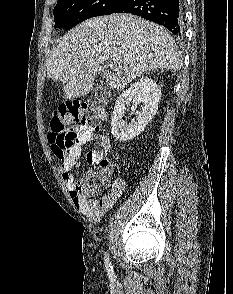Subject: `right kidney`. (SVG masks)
<instances>
[{
    "label": "right kidney",
    "mask_w": 233,
    "mask_h": 294,
    "mask_svg": "<svg viewBox=\"0 0 233 294\" xmlns=\"http://www.w3.org/2000/svg\"><path fill=\"white\" fill-rule=\"evenodd\" d=\"M160 99V88L153 79L141 77L133 83L115 102L111 119V132L114 138L124 142L140 135L156 114ZM130 104L136 119L128 124L122 117ZM139 104H142L140 112L136 111Z\"/></svg>",
    "instance_id": "obj_1"
}]
</instances>
